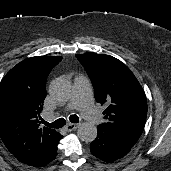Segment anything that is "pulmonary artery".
I'll use <instances>...</instances> for the list:
<instances>
[{
	"instance_id": "1",
	"label": "pulmonary artery",
	"mask_w": 171,
	"mask_h": 171,
	"mask_svg": "<svg viewBox=\"0 0 171 171\" xmlns=\"http://www.w3.org/2000/svg\"><path fill=\"white\" fill-rule=\"evenodd\" d=\"M67 109H78L92 125H98L102 122V118L93 104L90 82L84 76L79 75L74 78V94ZM46 119L50 121L52 117L46 116Z\"/></svg>"
}]
</instances>
